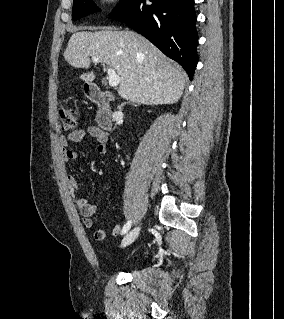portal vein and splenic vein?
<instances>
[{
	"instance_id": "portal-vein-and-splenic-vein-1",
	"label": "portal vein and splenic vein",
	"mask_w": 284,
	"mask_h": 319,
	"mask_svg": "<svg viewBox=\"0 0 284 319\" xmlns=\"http://www.w3.org/2000/svg\"><path fill=\"white\" fill-rule=\"evenodd\" d=\"M92 61L95 63H99L100 60L97 57H92ZM107 73H108V81H109V85L111 87H116L119 85L120 83V76L116 74L115 70L112 68H108L107 69Z\"/></svg>"
}]
</instances>
